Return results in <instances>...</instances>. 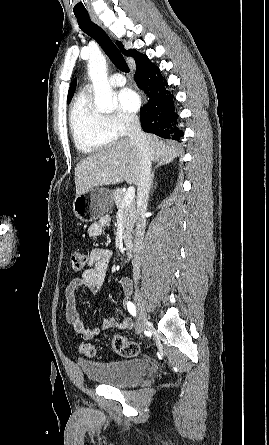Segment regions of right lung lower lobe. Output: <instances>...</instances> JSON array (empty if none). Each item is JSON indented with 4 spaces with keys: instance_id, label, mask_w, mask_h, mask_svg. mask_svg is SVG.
Listing matches in <instances>:
<instances>
[{
    "instance_id": "obj_1",
    "label": "right lung lower lobe",
    "mask_w": 269,
    "mask_h": 445,
    "mask_svg": "<svg viewBox=\"0 0 269 445\" xmlns=\"http://www.w3.org/2000/svg\"><path fill=\"white\" fill-rule=\"evenodd\" d=\"M134 80L148 96V104L140 109L141 127L145 132L165 139L179 140L184 132L177 127L178 114L175 111V97L167 88L158 66L148 58L136 64Z\"/></svg>"
}]
</instances>
